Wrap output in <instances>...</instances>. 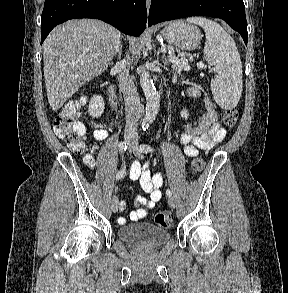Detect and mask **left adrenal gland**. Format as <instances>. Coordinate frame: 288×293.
<instances>
[{
  "mask_svg": "<svg viewBox=\"0 0 288 293\" xmlns=\"http://www.w3.org/2000/svg\"><path fill=\"white\" fill-rule=\"evenodd\" d=\"M161 52H163L162 49L158 51L157 55H159ZM162 59H163L165 65H167L169 63L168 58L165 56V54L162 55Z\"/></svg>",
  "mask_w": 288,
  "mask_h": 293,
  "instance_id": "obj_1",
  "label": "left adrenal gland"
}]
</instances>
